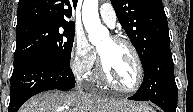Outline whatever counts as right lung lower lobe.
Segmentation results:
<instances>
[{"label":"right lung lower lobe","instance_id":"98d812e1","mask_svg":"<svg viewBox=\"0 0 193 112\" xmlns=\"http://www.w3.org/2000/svg\"><path fill=\"white\" fill-rule=\"evenodd\" d=\"M75 79L70 65L51 56L38 55L14 65L11 76L9 112H17L21 105L47 90H70Z\"/></svg>","mask_w":193,"mask_h":112}]
</instances>
